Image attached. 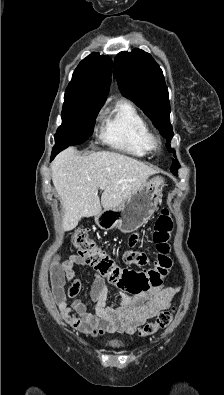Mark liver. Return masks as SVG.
<instances>
[{"mask_svg": "<svg viewBox=\"0 0 224 395\" xmlns=\"http://www.w3.org/2000/svg\"><path fill=\"white\" fill-rule=\"evenodd\" d=\"M52 181L64 209L63 228L73 230L81 217L120 205L156 171L124 154L100 151L81 155L70 147L51 165ZM102 190L101 199L98 190Z\"/></svg>", "mask_w": 224, "mask_h": 395, "instance_id": "liver-1", "label": "liver"}]
</instances>
